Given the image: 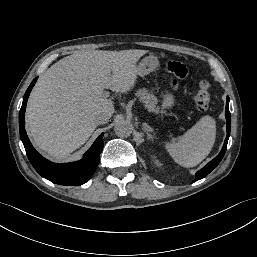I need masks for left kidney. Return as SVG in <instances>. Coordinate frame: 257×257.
<instances>
[{
  "label": "left kidney",
  "mask_w": 257,
  "mask_h": 257,
  "mask_svg": "<svg viewBox=\"0 0 257 257\" xmlns=\"http://www.w3.org/2000/svg\"><path fill=\"white\" fill-rule=\"evenodd\" d=\"M155 164H156L157 166H161V165H162L161 162H159V160H155Z\"/></svg>",
  "instance_id": "left-kidney-1"
}]
</instances>
